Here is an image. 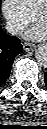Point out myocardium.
I'll use <instances>...</instances> for the list:
<instances>
[{
    "mask_svg": "<svg viewBox=\"0 0 47 129\" xmlns=\"http://www.w3.org/2000/svg\"><path fill=\"white\" fill-rule=\"evenodd\" d=\"M47 14V0L43 2V4L35 11L34 13V19L38 20L41 15Z\"/></svg>",
    "mask_w": 47,
    "mask_h": 129,
    "instance_id": "f54148a6",
    "label": "myocardium"
}]
</instances>
